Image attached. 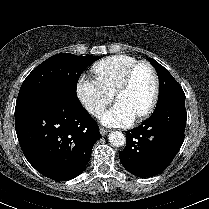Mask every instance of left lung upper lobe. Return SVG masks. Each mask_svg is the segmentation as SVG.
Masks as SVG:
<instances>
[{"label": "left lung upper lobe", "mask_w": 209, "mask_h": 209, "mask_svg": "<svg viewBox=\"0 0 209 209\" xmlns=\"http://www.w3.org/2000/svg\"><path fill=\"white\" fill-rule=\"evenodd\" d=\"M150 62L153 64L159 75L160 90L157 104L173 98H185L182 87L168 70L152 58H150Z\"/></svg>", "instance_id": "5c2ea615"}]
</instances>
